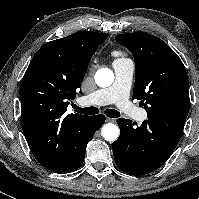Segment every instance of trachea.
Here are the masks:
<instances>
[{"label": "trachea", "mask_w": 199, "mask_h": 199, "mask_svg": "<svg viewBox=\"0 0 199 199\" xmlns=\"http://www.w3.org/2000/svg\"><path fill=\"white\" fill-rule=\"evenodd\" d=\"M73 108L75 109L76 112L85 114V115H95L99 113V109L96 107L81 108L73 104ZM104 113L106 116L110 118H117L120 116V113L114 109H106Z\"/></svg>", "instance_id": "3493384b"}]
</instances>
